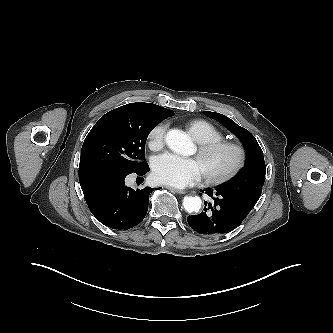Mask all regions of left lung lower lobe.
Returning a JSON list of instances; mask_svg holds the SVG:
<instances>
[{"mask_svg": "<svg viewBox=\"0 0 333 333\" xmlns=\"http://www.w3.org/2000/svg\"><path fill=\"white\" fill-rule=\"evenodd\" d=\"M205 191L210 197L215 195L214 205L209 203V208H204L202 213L188 216L187 222L194 231L207 236L219 235L235 229L258 201L252 196L232 193L219 186L215 188L214 193L212 189ZM201 192L204 191L201 190Z\"/></svg>", "mask_w": 333, "mask_h": 333, "instance_id": "1", "label": "left lung lower lobe"}]
</instances>
